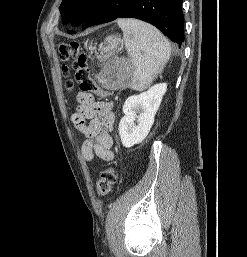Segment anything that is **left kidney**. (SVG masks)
I'll return each mask as SVG.
<instances>
[{"label":"left kidney","mask_w":247,"mask_h":257,"mask_svg":"<svg viewBox=\"0 0 247 257\" xmlns=\"http://www.w3.org/2000/svg\"><path fill=\"white\" fill-rule=\"evenodd\" d=\"M166 90L167 84L160 83L126 99L123 105L124 117L119 123V135L124 147L130 148L146 138Z\"/></svg>","instance_id":"5707ae66"}]
</instances>
